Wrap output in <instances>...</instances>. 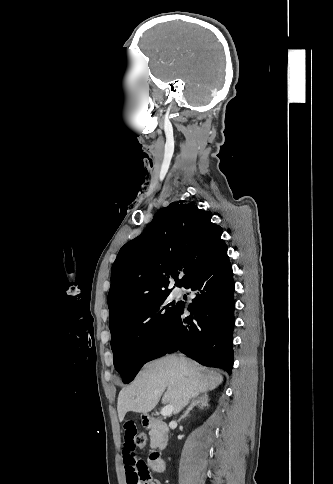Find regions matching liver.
Instances as JSON below:
<instances>
[{
	"label": "liver",
	"instance_id": "obj_1",
	"mask_svg": "<svg viewBox=\"0 0 333 484\" xmlns=\"http://www.w3.org/2000/svg\"><path fill=\"white\" fill-rule=\"evenodd\" d=\"M185 361L182 364L177 356H167L147 363L135 380L119 393L117 410L120 422L129 411L147 414L162 395V403L172 405L173 411L178 413L192 397L212 391L222 382V376L216 371L203 368L189 359Z\"/></svg>",
	"mask_w": 333,
	"mask_h": 484
}]
</instances>
